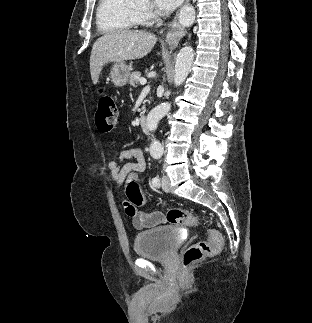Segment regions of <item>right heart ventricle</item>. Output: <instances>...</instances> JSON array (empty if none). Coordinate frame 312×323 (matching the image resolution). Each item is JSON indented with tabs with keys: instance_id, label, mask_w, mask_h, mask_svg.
I'll return each mask as SVG.
<instances>
[{
	"instance_id": "obj_1",
	"label": "right heart ventricle",
	"mask_w": 312,
	"mask_h": 323,
	"mask_svg": "<svg viewBox=\"0 0 312 323\" xmlns=\"http://www.w3.org/2000/svg\"><path fill=\"white\" fill-rule=\"evenodd\" d=\"M94 24L96 29H130L131 25H140L145 20V13H138L124 0H98L94 5Z\"/></svg>"
}]
</instances>
